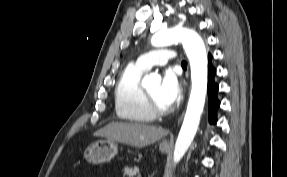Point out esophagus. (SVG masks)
<instances>
[{"mask_svg":"<svg viewBox=\"0 0 287 177\" xmlns=\"http://www.w3.org/2000/svg\"><path fill=\"white\" fill-rule=\"evenodd\" d=\"M182 118H183V114H181V115L179 116V118H178V122H181ZM165 144H166V145H169V144H170V142H166Z\"/></svg>","mask_w":287,"mask_h":177,"instance_id":"34e87169","label":"esophagus"}]
</instances>
